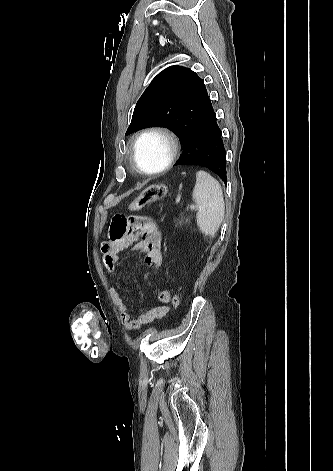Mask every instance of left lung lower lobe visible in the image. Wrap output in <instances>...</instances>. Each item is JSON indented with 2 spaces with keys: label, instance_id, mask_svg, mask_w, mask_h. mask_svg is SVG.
<instances>
[{
  "label": "left lung lower lobe",
  "instance_id": "1",
  "mask_svg": "<svg viewBox=\"0 0 333 471\" xmlns=\"http://www.w3.org/2000/svg\"><path fill=\"white\" fill-rule=\"evenodd\" d=\"M182 164L207 167L226 183V152L211 102L196 123L188 144L175 163Z\"/></svg>",
  "mask_w": 333,
  "mask_h": 471
}]
</instances>
